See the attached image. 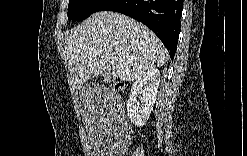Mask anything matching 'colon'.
<instances>
[{
  "label": "colon",
  "mask_w": 247,
  "mask_h": 156,
  "mask_svg": "<svg viewBox=\"0 0 247 156\" xmlns=\"http://www.w3.org/2000/svg\"><path fill=\"white\" fill-rule=\"evenodd\" d=\"M110 87L115 91V92H121L124 89V84L119 81L112 80L110 82Z\"/></svg>",
  "instance_id": "colon-1"
}]
</instances>
